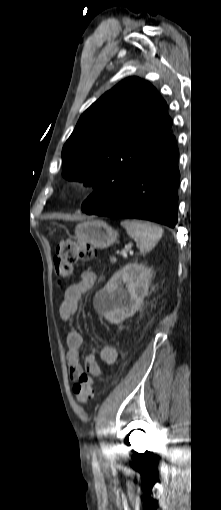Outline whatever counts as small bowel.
Listing matches in <instances>:
<instances>
[{"instance_id": "obj_1", "label": "small bowel", "mask_w": 221, "mask_h": 510, "mask_svg": "<svg viewBox=\"0 0 221 510\" xmlns=\"http://www.w3.org/2000/svg\"><path fill=\"white\" fill-rule=\"evenodd\" d=\"M96 276L91 271H84L80 279L70 285L64 293L59 313L63 321H73L82 298L93 288ZM68 353L67 359L70 368V374L73 379H77L82 372L88 373L94 377L102 374V369L97 362L96 354L92 351L81 362V349L83 337L78 329H71L67 334ZM100 358L106 365H113L117 360V351L111 345H104L100 350Z\"/></svg>"}]
</instances>
